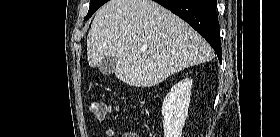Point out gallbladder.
I'll list each match as a JSON object with an SVG mask.
<instances>
[{
  "label": "gallbladder",
  "mask_w": 280,
  "mask_h": 137,
  "mask_svg": "<svg viewBox=\"0 0 280 137\" xmlns=\"http://www.w3.org/2000/svg\"><path fill=\"white\" fill-rule=\"evenodd\" d=\"M116 68V61L111 56H105L99 65V70L104 75H111Z\"/></svg>",
  "instance_id": "obj_1"
}]
</instances>
